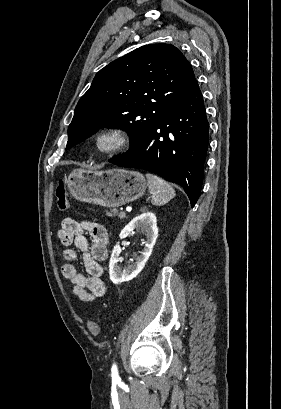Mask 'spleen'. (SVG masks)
Segmentation results:
<instances>
[{
	"label": "spleen",
	"instance_id": "obj_1",
	"mask_svg": "<svg viewBox=\"0 0 281 409\" xmlns=\"http://www.w3.org/2000/svg\"><path fill=\"white\" fill-rule=\"evenodd\" d=\"M145 176L148 180L149 192L152 196V205L161 207V205H166V202H169L171 198H174L176 192L166 180L156 176V174H145Z\"/></svg>",
	"mask_w": 281,
	"mask_h": 409
}]
</instances>
